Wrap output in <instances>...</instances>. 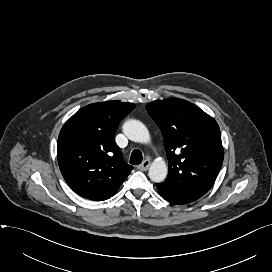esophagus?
<instances>
[{"mask_svg": "<svg viewBox=\"0 0 272 272\" xmlns=\"http://www.w3.org/2000/svg\"><path fill=\"white\" fill-rule=\"evenodd\" d=\"M150 164H151L150 160L146 159L143 161L141 165L138 166V169L141 171H146L148 170Z\"/></svg>", "mask_w": 272, "mask_h": 272, "instance_id": "34e87169", "label": "esophagus"}]
</instances>
